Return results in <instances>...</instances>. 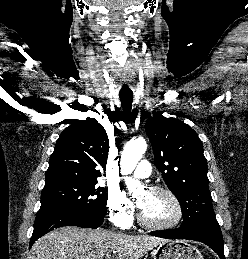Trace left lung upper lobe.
I'll use <instances>...</instances> for the list:
<instances>
[{
    "instance_id": "5c2ea615",
    "label": "left lung upper lobe",
    "mask_w": 248,
    "mask_h": 259,
    "mask_svg": "<svg viewBox=\"0 0 248 259\" xmlns=\"http://www.w3.org/2000/svg\"><path fill=\"white\" fill-rule=\"evenodd\" d=\"M155 164L181 204L183 223L214 219L207 162L197 133L184 122L154 114L146 122Z\"/></svg>"
}]
</instances>
